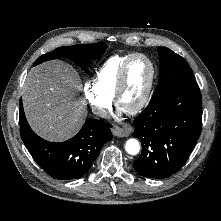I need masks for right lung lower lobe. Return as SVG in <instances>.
I'll return each instance as SVG.
<instances>
[{"label":"right lung lower lobe","instance_id":"right-lung-lower-lobe-1","mask_svg":"<svg viewBox=\"0 0 221 221\" xmlns=\"http://www.w3.org/2000/svg\"><path fill=\"white\" fill-rule=\"evenodd\" d=\"M20 135L37 164L51 177L59 180L84 176L102 146L112 139L110 124L87 119L73 138L59 143L48 142L36 135L28 125L21 100Z\"/></svg>","mask_w":221,"mask_h":221}]
</instances>
